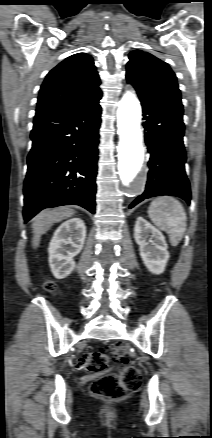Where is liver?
<instances>
[{"label":"liver","mask_w":212,"mask_h":438,"mask_svg":"<svg viewBox=\"0 0 212 438\" xmlns=\"http://www.w3.org/2000/svg\"><path fill=\"white\" fill-rule=\"evenodd\" d=\"M74 213V210L69 207H61L53 210H45L37 215L32 224L33 248L36 249L39 246L41 236L45 234L54 223L72 217Z\"/></svg>","instance_id":"liver-1"}]
</instances>
